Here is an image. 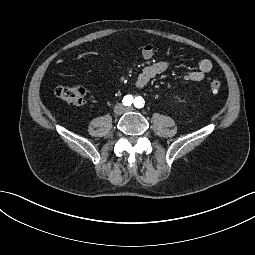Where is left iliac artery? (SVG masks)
Here are the masks:
<instances>
[{
	"label": "left iliac artery",
	"mask_w": 255,
	"mask_h": 255,
	"mask_svg": "<svg viewBox=\"0 0 255 255\" xmlns=\"http://www.w3.org/2000/svg\"><path fill=\"white\" fill-rule=\"evenodd\" d=\"M134 106L136 108H142L144 106V100L142 97L138 96L134 99Z\"/></svg>",
	"instance_id": "obj_1"
}]
</instances>
